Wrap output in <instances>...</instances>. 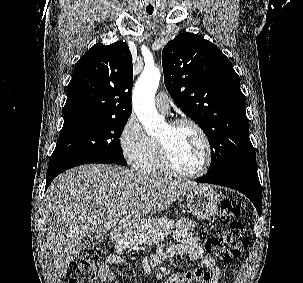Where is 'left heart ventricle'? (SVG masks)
Segmentation results:
<instances>
[{
    "label": "left heart ventricle",
    "mask_w": 303,
    "mask_h": 283,
    "mask_svg": "<svg viewBox=\"0 0 303 283\" xmlns=\"http://www.w3.org/2000/svg\"><path fill=\"white\" fill-rule=\"evenodd\" d=\"M157 138L168 145L172 160L181 172L193 173L202 167L205 149L199 134L192 127L173 129L166 125Z\"/></svg>",
    "instance_id": "left-heart-ventricle-1"
}]
</instances>
